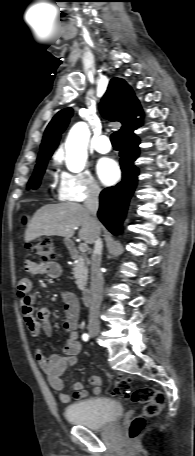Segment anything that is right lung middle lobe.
I'll return each mask as SVG.
<instances>
[{
    "instance_id": "dd1d6c3e",
    "label": "right lung middle lobe",
    "mask_w": 195,
    "mask_h": 456,
    "mask_svg": "<svg viewBox=\"0 0 195 456\" xmlns=\"http://www.w3.org/2000/svg\"><path fill=\"white\" fill-rule=\"evenodd\" d=\"M50 157H45L42 158L41 160L37 161V165L35 167L33 176L30 178L29 183H28V189H36L40 185V181L42 178V175L45 171L47 161Z\"/></svg>"
}]
</instances>
